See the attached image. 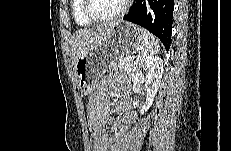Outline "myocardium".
<instances>
[{"label":"myocardium","mask_w":231,"mask_h":151,"mask_svg":"<svg viewBox=\"0 0 231 151\" xmlns=\"http://www.w3.org/2000/svg\"><path fill=\"white\" fill-rule=\"evenodd\" d=\"M130 0H124L122 8L115 14L105 17H97L91 12V0H83V10L86 17L94 23H107L118 20L128 11Z\"/></svg>","instance_id":"f54148a6"}]
</instances>
